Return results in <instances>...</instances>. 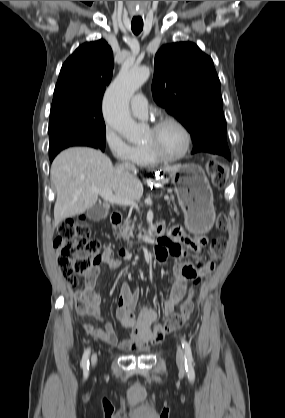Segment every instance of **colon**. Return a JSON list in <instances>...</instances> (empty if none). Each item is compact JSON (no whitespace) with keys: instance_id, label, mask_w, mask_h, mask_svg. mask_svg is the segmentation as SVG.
<instances>
[{"instance_id":"obj_1","label":"colon","mask_w":285,"mask_h":418,"mask_svg":"<svg viewBox=\"0 0 285 418\" xmlns=\"http://www.w3.org/2000/svg\"><path fill=\"white\" fill-rule=\"evenodd\" d=\"M207 171L215 185H222L226 179V173L218 162L210 160L207 163ZM217 229L224 233L227 228V220L224 215H219L216 221ZM177 234L182 231L177 229ZM193 247V243L189 244ZM54 248L58 255V264L62 273L68 278L73 286L80 284L87 276L97 260H91L90 256L99 250L96 240L90 238V228L83 220L68 219L63 221L58 228V235L54 239ZM227 248L226 237L222 234L214 238L208 253L211 259L224 255ZM167 250L160 243L155 245V256L159 261L167 258ZM213 266L210 267V270ZM193 309L191 296L185 299L179 312L173 313L166 322L158 329L159 333H169L178 330L189 318Z\"/></svg>"}]
</instances>
